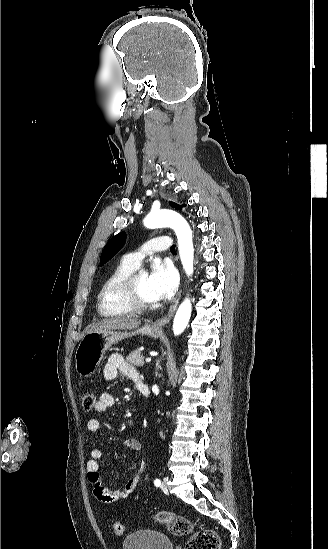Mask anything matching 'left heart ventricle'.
<instances>
[{"label":"left heart ventricle","mask_w":328,"mask_h":549,"mask_svg":"<svg viewBox=\"0 0 328 549\" xmlns=\"http://www.w3.org/2000/svg\"><path fill=\"white\" fill-rule=\"evenodd\" d=\"M136 293L138 297L144 301H155L150 293L149 274L147 272L138 279L136 284Z\"/></svg>","instance_id":"b2bd125f"}]
</instances>
